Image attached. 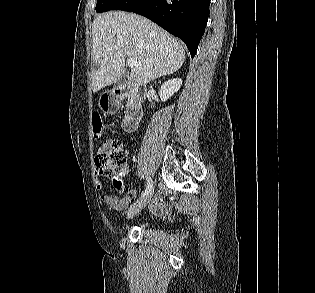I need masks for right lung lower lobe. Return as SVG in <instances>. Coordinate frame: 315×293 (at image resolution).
I'll use <instances>...</instances> for the list:
<instances>
[{"instance_id":"right-lung-lower-lobe-1","label":"right lung lower lobe","mask_w":315,"mask_h":293,"mask_svg":"<svg viewBox=\"0 0 315 293\" xmlns=\"http://www.w3.org/2000/svg\"><path fill=\"white\" fill-rule=\"evenodd\" d=\"M210 0H120L111 10L143 15L187 45L196 54L209 15Z\"/></svg>"}]
</instances>
